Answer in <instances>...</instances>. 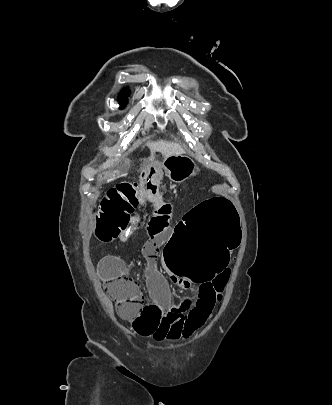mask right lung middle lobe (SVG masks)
Here are the masks:
<instances>
[{
	"label": "right lung middle lobe",
	"mask_w": 332,
	"mask_h": 405,
	"mask_svg": "<svg viewBox=\"0 0 332 405\" xmlns=\"http://www.w3.org/2000/svg\"><path fill=\"white\" fill-rule=\"evenodd\" d=\"M126 96H127V93H126V92H123V93L120 95V97H119V102H120V104H121L122 106H125V103H126Z\"/></svg>",
	"instance_id": "right-lung-middle-lobe-1"
}]
</instances>
